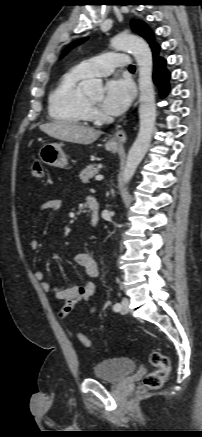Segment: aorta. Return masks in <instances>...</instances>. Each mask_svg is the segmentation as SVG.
<instances>
[{"instance_id": "obj_1", "label": "aorta", "mask_w": 202, "mask_h": 437, "mask_svg": "<svg viewBox=\"0 0 202 437\" xmlns=\"http://www.w3.org/2000/svg\"><path fill=\"white\" fill-rule=\"evenodd\" d=\"M111 46L116 50L131 52L137 62L139 72V132L129 150L122 175L124 182L128 183L144 158L154 131L156 106L152 80L153 59L149 45L136 35L120 33L112 38ZM82 88L88 95L101 94L103 91L102 82L97 79L83 81Z\"/></svg>"}]
</instances>
